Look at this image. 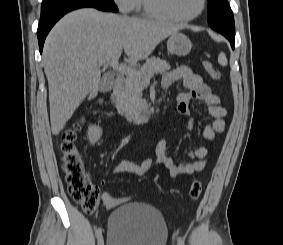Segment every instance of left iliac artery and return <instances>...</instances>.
Wrapping results in <instances>:
<instances>
[{
	"label": "left iliac artery",
	"mask_w": 283,
	"mask_h": 245,
	"mask_svg": "<svg viewBox=\"0 0 283 245\" xmlns=\"http://www.w3.org/2000/svg\"><path fill=\"white\" fill-rule=\"evenodd\" d=\"M178 245H185L184 241L181 238H178Z\"/></svg>",
	"instance_id": "1"
}]
</instances>
